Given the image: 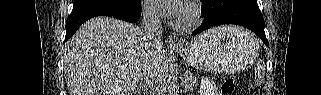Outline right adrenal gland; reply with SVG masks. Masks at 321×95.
Here are the masks:
<instances>
[{"label":"right adrenal gland","mask_w":321,"mask_h":95,"mask_svg":"<svg viewBox=\"0 0 321 95\" xmlns=\"http://www.w3.org/2000/svg\"><path fill=\"white\" fill-rule=\"evenodd\" d=\"M143 90L142 89H137V90H135V94H138V93H140V92H142Z\"/></svg>","instance_id":"1"}]
</instances>
